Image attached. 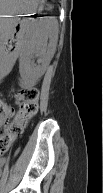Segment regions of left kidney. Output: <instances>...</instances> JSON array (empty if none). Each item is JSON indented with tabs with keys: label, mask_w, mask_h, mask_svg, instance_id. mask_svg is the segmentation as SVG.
Returning a JSON list of instances; mask_svg holds the SVG:
<instances>
[{
	"label": "left kidney",
	"mask_w": 103,
	"mask_h": 193,
	"mask_svg": "<svg viewBox=\"0 0 103 193\" xmlns=\"http://www.w3.org/2000/svg\"><path fill=\"white\" fill-rule=\"evenodd\" d=\"M57 21L44 19L34 29L33 37L22 49L19 58V72L31 82L38 80L46 71L52 56V46L57 39ZM37 57V65L32 59Z\"/></svg>",
	"instance_id": "obj_1"
}]
</instances>
